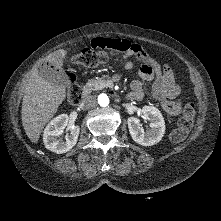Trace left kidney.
Returning <instances> with one entry per match:
<instances>
[{
  "label": "left kidney",
  "mask_w": 221,
  "mask_h": 221,
  "mask_svg": "<svg viewBox=\"0 0 221 221\" xmlns=\"http://www.w3.org/2000/svg\"><path fill=\"white\" fill-rule=\"evenodd\" d=\"M141 113L142 117L150 122L151 129L144 131L138 118H128L127 123L132 139L143 146L157 144L165 133V122L161 112L154 106H144Z\"/></svg>",
  "instance_id": "5707ae66"
}]
</instances>
